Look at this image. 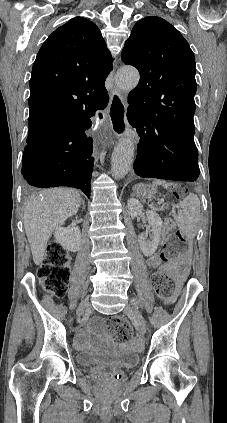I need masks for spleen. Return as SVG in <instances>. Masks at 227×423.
Segmentation results:
<instances>
[{
	"label": "spleen",
	"mask_w": 227,
	"mask_h": 423,
	"mask_svg": "<svg viewBox=\"0 0 227 423\" xmlns=\"http://www.w3.org/2000/svg\"><path fill=\"white\" fill-rule=\"evenodd\" d=\"M155 186H163L168 188L171 184L162 182V180H154ZM174 208H181V213H175L172 211L174 219L177 221V225L185 237H194L197 233L199 215H200V200L195 194H189L187 198H184L182 202H179Z\"/></svg>",
	"instance_id": "obj_1"
}]
</instances>
